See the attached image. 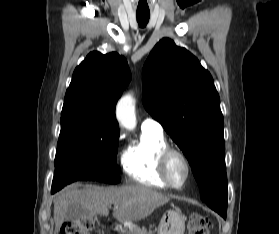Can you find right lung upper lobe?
I'll return each mask as SVG.
<instances>
[{"mask_svg": "<svg viewBox=\"0 0 279 234\" xmlns=\"http://www.w3.org/2000/svg\"><path fill=\"white\" fill-rule=\"evenodd\" d=\"M131 80L126 59L112 52H91L76 67L65 95L61 118L90 119L104 130L119 131L115 106Z\"/></svg>", "mask_w": 279, "mask_h": 234, "instance_id": "right-lung-upper-lobe-1", "label": "right lung upper lobe"}]
</instances>
